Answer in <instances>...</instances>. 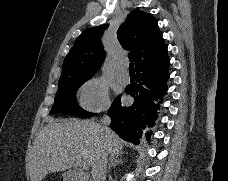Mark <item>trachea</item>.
I'll list each match as a JSON object with an SVG mask.
<instances>
[{"mask_svg": "<svg viewBox=\"0 0 228 181\" xmlns=\"http://www.w3.org/2000/svg\"><path fill=\"white\" fill-rule=\"evenodd\" d=\"M129 70L130 72H134V64L132 62L129 63Z\"/></svg>", "mask_w": 228, "mask_h": 181, "instance_id": "3493384b", "label": "trachea"}]
</instances>
